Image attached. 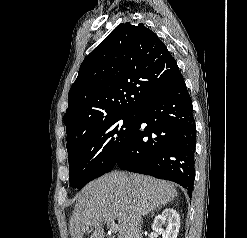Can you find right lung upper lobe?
<instances>
[{"label":"right lung upper lobe","instance_id":"right-lung-upper-lobe-1","mask_svg":"<svg viewBox=\"0 0 247 238\" xmlns=\"http://www.w3.org/2000/svg\"><path fill=\"white\" fill-rule=\"evenodd\" d=\"M175 59L143 24L118 25L82 62L68 94L67 146L87 129L136 113L179 73Z\"/></svg>","mask_w":247,"mask_h":238}]
</instances>
